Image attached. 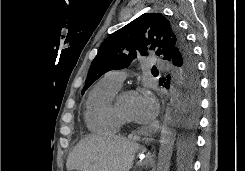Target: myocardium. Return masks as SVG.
I'll return each instance as SVG.
<instances>
[{
    "mask_svg": "<svg viewBox=\"0 0 245 171\" xmlns=\"http://www.w3.org/2000/svg\"><path fill=\"white\" fill-rule=\"evenodd\" d=\"M126 95H136V91L133 89H126V90L121 91L119 94H117L113 101V110H114L116 117L121 122V124L133 125L134 121L126 117L119 108L120 99Z\"/></svg>",
    "mask_w": 245,
    "mask_h": 171,
    "instance_id": "obj_1",
    "label": "myocardium"
}]
</instances>
